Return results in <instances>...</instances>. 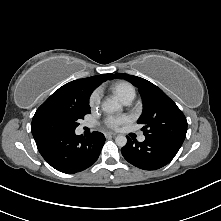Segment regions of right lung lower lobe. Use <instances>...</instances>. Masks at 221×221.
I'll return each mask as SVG.
<instances>
[{"instance_id": "obj_1", "label": "right lung lower lobe", "mask_w": 221, "mask_h": 221, "mask_svg": "<svg viewBox=\"0 0 221 221\" xmlns=\"http://www.w3.org/2000/svg\"><path fill=\"white\" fill-rule=\"evenodd\" d=\"M37 148L56 170L63 173H76L90 167L98 159L105 142L100 132L88 137L76 135L74 131H58L35 138Z\"/></svg>"}]
</instances>
